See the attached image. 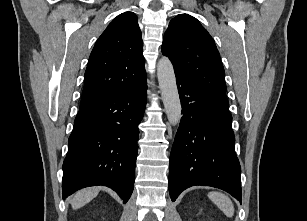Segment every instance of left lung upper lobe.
Returning a JSON list of instances; mask_svg holds the SVG:
<instances>
[{
  "mask_svg": "<svg viewBox=\"0 0 307 221\" xmlns=\"http://www.w3.org/2000/svg\"><path fill=\"white\" fill-rule=\"evenodd\" d=\"M162 53L170 58L175 74L184 77L201 92L229 105L219 52L210 34L196 18L179 14L170 21Z\"/></svg>",
  "mask_w": 307,
  "mask_h": 221,
  "instance_id": "obj_1",
  "label": "left lung upper lobe"
}]
</instances>
